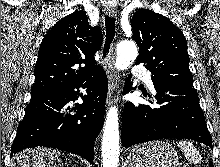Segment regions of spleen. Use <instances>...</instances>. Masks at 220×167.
Here are the masks:
<instances>
[{
  "label": "spleen",
  "instance_id": "1",
  "mask_svg": "<svg viewBox=\"0 0 220 167\" xmlns=\"http://www.w3.org/2000/svg\"><path fill=\"white\" fill-rule=\"evenodd\" d=\"M179 148H181L182 152L186 159L192 164H199L202 161V156L196 147L189 141H180L178 143Z\"/></svg>",
  "mask_w": 220,
  "mask_h": 167
}]
</instances>
